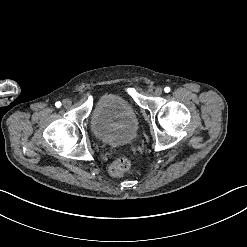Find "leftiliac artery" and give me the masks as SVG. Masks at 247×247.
I'll return each instance as SVG.
<instances>
[{
    "label": "left iliac artery",
    "instance_id": "left-iliac-artery-1",
    "mask_svg": "<svg viewBox=\"0 0 247 247\" xmlns=\"http://www.w3.org/2000/svg\"><path fill=\"white\" fill-rule=\"evenodd\" d=\"M164 91H165L166 93L170 92V87H165V88H164Z\"/></svg>",
    "mask_w": 247,
    "mask_h": 247
}]
</instances>
